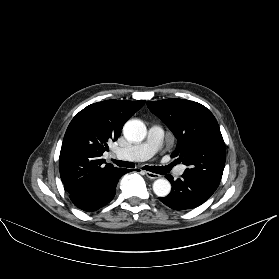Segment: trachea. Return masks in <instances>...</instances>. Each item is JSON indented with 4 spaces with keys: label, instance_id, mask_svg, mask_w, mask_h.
Here are the masks:
<instances>
[{
    "label": "trachea",
    "instance_id": "obj_1",
    "mask_svg": "<svg viewBox=\"0 0 279 279\" xmlns=\"http://www.w3.org/2000/svg\"><path fill=\"white\" fill-rule=\"evenodd\" d=\"M113 162L119 167H126V168L135 167L134 163H131V162L117 161V160H113ZM173 166H174V164H170L168 166H161V167L160 166H144L142 169H145L147 171L157 173V174H165V173H168L172 169Z\"/></svg>",
    "mask_w": 279,
    "mask_h": 279
}]
</instances>
